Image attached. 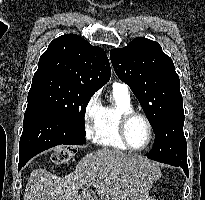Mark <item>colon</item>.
I'll return each mask as SVG.
<instances>
[{
  "instance_id": "colon-1",
  "label": "colon",
  "mask_w": 205,
  "mask_h": 200,
  "mask_svg": "<svg viewBox=\"0 0 205 200\" xmlns=\"http://www.w3.org/2000/svg\"><path fill=\"white\" fill-rule=\"evenodd\" d=\"M76 151L74 149H64L59 152H56L52 160L57 165H68L70 162L73 161Z\"/></svg>"
}]
</instances>
